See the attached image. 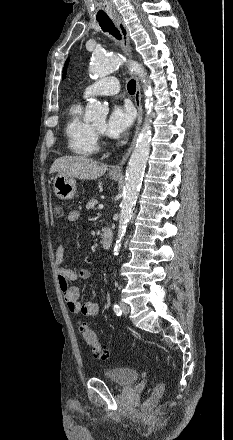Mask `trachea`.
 I'll use <instances>...</instances> for the list:
<instances>
[{"mask_svg": "<svg viewBox=\"0 0 233 440\" xmlns=\"http://www.w3.org/2000/svg\"><path fill=\"white\" fill-rule=\"evenodd\" d=\"M97 20H98L99 25L101 26V28L104 32L110 33L118 40L121 39V34H120L119 30L113 24L111 19L103 18V19H97ZM127 89L130 94H134L136 91V81L133 79L130 80L128 82Z\"/></svg>", "mask_w": 233, "mask_h": 440, "instance_id": "trachea-1", "label": "trachea"}]
</instances>
